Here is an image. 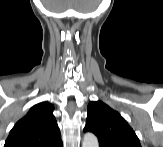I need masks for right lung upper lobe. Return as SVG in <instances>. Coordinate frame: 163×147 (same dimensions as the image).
Returning <instances> with one entry per match:
<instances>
[{
	"label": "right lung upper lobe",
	"mask_w": 163,
	"mask_h": 147,
	"mask_svg": "<svg viewBox=\"0 0 163 147\" xmlns=\"http://www.w3.org/2000/svg\"><path fill=\"white\" fill-rule=\"evenodd\" d=\"M53 110L47 102L33 106L12 128L4 147H53L61 143Z\"/></svg>",
	"instance_id": "obj_1"
}]
</instances>
